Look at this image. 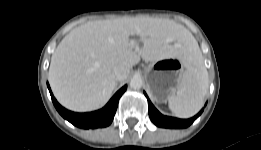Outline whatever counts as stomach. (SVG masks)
I'll return each instance as SVG.
<instances>
[{
    "instance_id": "obj_1",
    "label": "stomach",
    "mask_w": 261,
    "mask_h": 150,
    "mask_svg": "<svg viewBox=\"0 0 261 150\" xmlns=\"http://www.w3.org/2000/svg\"><path fill=\"white\" fill-rule=\"evenodd\" d=\"M186 59L183 56L165 58L151 62L145 67L148 91L156 102H165L176 93L183 78Z\"/></svg>"
}]
</instances>
